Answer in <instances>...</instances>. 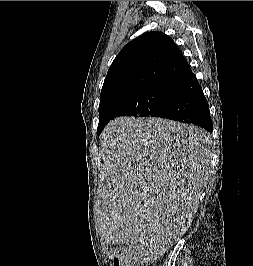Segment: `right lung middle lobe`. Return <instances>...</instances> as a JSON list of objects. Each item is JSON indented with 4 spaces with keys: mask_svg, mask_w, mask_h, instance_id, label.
<instances>
[{
    "mask_svg": "<svg viewBox=\"0 0 253 266\" xmlns=\"http://www.w3.org/2000/svg\"><path fill=\"white\" fill-rule=\"evenodd\" d=\"M172 84L155 83L123 93L99 105L98 134L116 116L159 117L165 110Z\"/></svg>",
    "mask_w": 253,
    "mask_h": 266,
    "instance_id": "1",
    "label": "right lung middle lobe"
}]
</instances>
